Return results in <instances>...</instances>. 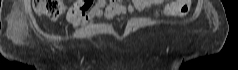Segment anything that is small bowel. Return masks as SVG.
<instances>
[{"instance_id":"small-bowel-1","label":"small bowel","mask_w":238,"mask_h":70,"mask_svg":"<svg viewBox=\"0 0 238 70\" xmlns=\"http://www.w3.org/2000/svg\"><path fill=\"white\" fill-rule=\"evenodd\" d=\"M161 3V0H131L125 3L116 0H98L95 3L88 0H79L68 10L67 20L75 27H80L94 18L104 16L110 19L115 16L142 11L149 6ZM177 7L178 3L176 1L170 2L164 7L162 14L174 16Z\"/></svg>"}]
</instances>
